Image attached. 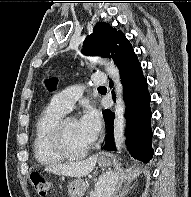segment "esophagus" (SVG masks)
<instances>
[{"label":"esophagus","instance_id":"1","mask_svg":"<svg viewBox=\"0 0 191 197\" xmlns=\"http://www.w3.org/2000/svg\"><path fill=\"white\" fill-rule=\"evenodd\" d=\"M100 158L103 159V158H105V157H104V156H101Z\"/></svg>","mask_w":191,"mask_h":197}]
</instances>
